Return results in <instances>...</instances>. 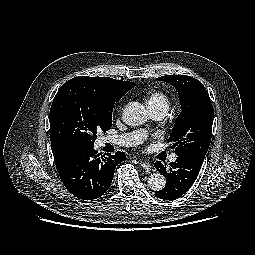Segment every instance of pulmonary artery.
<instances>
[{"mask_svg":"<svg viewBox=\"0 0 255 255\" xmlns=\"http://www.w3.org/2000/svg\"><path fill=\"white\" fill-rule=\"evenodd\" d=\"M166 110L163 109H157L152 110L151 114L152 116L157 119L161 120L166 115ZM145 132L144 131H136L131 132L127 134H122L118 136H108L106 138V142L118 145V146H136L140 144L144 138ZM177 159V156L175 154L171 155L170 161L175 162Z\"/></svg>","mask_w":255,"mask_h":255,"instance_id":"pulmonary-artery-1","label":"pulmonary artery"}]
</instances>
